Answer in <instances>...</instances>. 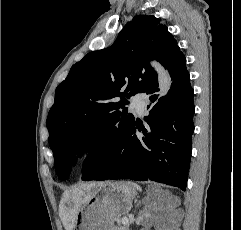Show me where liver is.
Masks as SVG:
<instances>
[{"instance_id":"liver-1","label":"liver","mask_w":241,"mask_h":230,"mask_svg":"<svg viewBox=\"0 0 241 230\" xmlns=\"http://www.w3.org/2000/svg\"><path fill=\"white\" fill-rule=\"evenodd\" d=\"M91 193L85 194L82 190H75L73 193L65 192L61 199V205L59 208L60 216L63 225L66 230H73L75 225L76 215L79 209L84 205L90 198ZM72 201L73 207H66V204Z\"/></svg>"}]
</instances>
